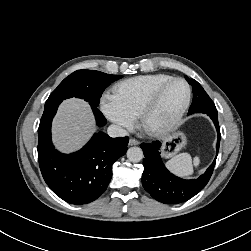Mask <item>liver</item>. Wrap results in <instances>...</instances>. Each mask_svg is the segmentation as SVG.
I'll use <instances>...</instances> for the list:
<instances>
[{"instance_id": "obj_1", "label": "liver", "mask_w": 251, "mask_h": 251, "mask_svg": "<svg viewBox=\"0 0 251 251\" xmlns=\"http://www.w3.org/2000/svg\"><path fill=\"white\" fill-rule=\"evenodd\" d=\"M94 127V117L87 102L77 98L65 100L53 120V141L60 151H75L91 137Z\"/></svg>"}]
</instances>
